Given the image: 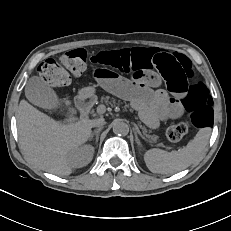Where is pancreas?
Returning <instances> with one entry per match:
<instances>
[{
	"label": "pancreas",
	"instance_id": "cf45deb5",
	"mask_svg": "<svg viewBox=\"0 0 231 231\" xmlns=\"http://www.w3.org/2000/svg\"><path fill=\"white\" fill-rule=\"evenodd\" d=\"M101 102L105 103L106 105L110 104L111 106H116L120 104V101H116L115 98H111L109 96H103L101 98ZM140 128L142 129L143 134L153 143L157 142V136L152 134V130L148 129L147 127L143 126L141 123L139 124Z\"/></svg>",
	"mask_w": 231,
	"mask_h": 231
}]
</instances>
